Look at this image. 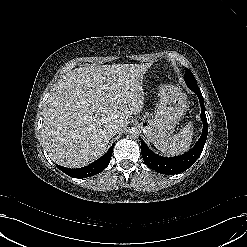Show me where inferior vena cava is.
<instances>
[{
	"mask_svg": "<svg viewBox=\"0 0 247 247\" xmlns=\"http://www.w3.org/2000/svg\"><path fill=\"white\" fill-rule=\"evenodd\" d=\"M106 131L110 136L113 137L120 131V126L116 123L110 124L107 126Z\"/></svg>",
	"mask_w": 247,
	"mask_h": 247,
	"instance_id": "602c4592",
	"label": "inferior vena cava"
}]
</instances>
